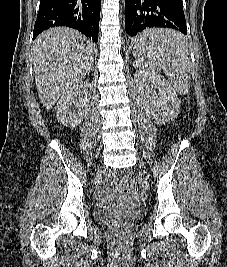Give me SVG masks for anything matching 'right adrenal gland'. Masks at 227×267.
Here are the masks:
<instances>
[{
	"mask_svg": "<svg viewBox=\"0 0 227 267\" xmlns=\"http://www.w3.org/2000/svg\"><path fill=\"white\" fill-rule=\"evenodd\" d=\"M91 70L93 71L94 70V67L92 66Z\"/></svg>",
	"mask_w": 227,
	"mask_h": 267,
	"instance_id": "1",
	"label": "right adrenal gland"
}]
</instances>
